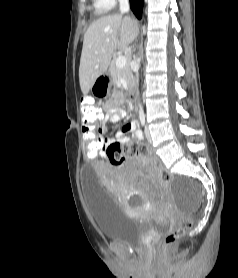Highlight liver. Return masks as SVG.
I'll return each instance as SVG.
<instances>
[{"label":"liver","mask_w":238,"mask_h":278,"mask_svg":"<svg viewBox=\"0 0 238 278\" xmlns=\"http://www.w3.org/2000/svg\"><path fill=\"white\" fill-rule=\"evenodd\" d=\"M139 33L131 17L107 15L94 21L84 34L79 66L81 91L87 95L96 79L105 73L116 49L126 51Z\"/></svg>","instance_id":"liver-1"}]
</instances>
